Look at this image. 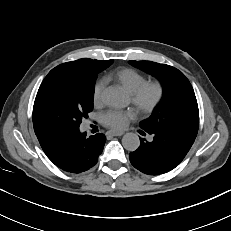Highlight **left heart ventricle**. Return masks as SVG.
Masks as SVG:
<instances>
[{
	"label": "left heart ventricle",
	"mask_w": 231,
	"mask_h": 231,
	"mask_svg": "<svg viewBox=\"0 0 231 231\" xmlns=\"http://www.w3.org/2000/svg\"><path fill=\"white\" fill-rule=\"evenodd\" d=\"M151 97H152V93H149L148 98H151Z\"/></svg>",
	"instance_id": "1"
}]
</instances>
